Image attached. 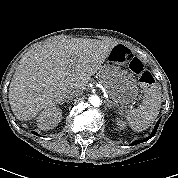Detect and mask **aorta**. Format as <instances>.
I'll return each mask as SVG.
<instances>
[{"label":"aorta","mask_w":178,"mask_h":178,"mask_svg":"<svg viewBox=\"0 0 178 178\" xmlns=\"http://www.w3.org/2000/svg\"><path fill=\"white\" fill-rule=\"evenodd\" d=\"M89 102L91 103V105L98 107L101 101L97 95H91L89 97Z\"/></svg>","instance_id":"aorta-1"}]
</instances>
